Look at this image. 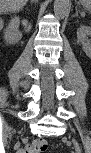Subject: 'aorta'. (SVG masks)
<instances>
[{"mask_svg":"<svg viewBox=\"0 0 91 153\" xmlns=\"http://www.w3.org/2000/svg\"><path fill=\"white\" fill-rule=\"evenodd\" d=\"M69 9V0H55L54 1V14L57 18H64Z\"/></svg>","mask_w":91,"mask_h":153,"instance_id":"762f6f07","label":"aorta"}]
</instances>
